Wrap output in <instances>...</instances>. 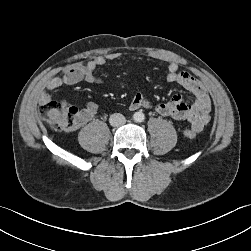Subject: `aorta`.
Instances as JSON below:
<instances>
[{
	"instance_id": "1",
	"label": "aorta",
	"mask_w": 251,
	"mask_h": 251,
	"mask_svg": "<svg viewBox=\"0 0 251 251\" xmlns=\"http://www.w3.org/2000/svg\"><path fill=\"white\" fill-rule=\"evenodd\" d=\"M133 119L135 122H142L145 119V115L142 112H135Z\"/></svg>"
}]
</instances>
